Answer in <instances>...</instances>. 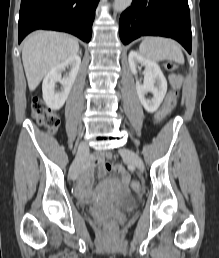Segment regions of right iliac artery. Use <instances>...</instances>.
I'll list each match as a JSON object with an SVG mask.
<instances>
[{
    "label": "right iliac artery",
    "mask_w": 219,
    "mask_h": 258,
    "mask_svg": "<svg viewBox=\"0 0 219 258\" xmlns=\"http://www.w3.org/2000/svg\"><path fill=\"white\" fill-rule=\"evenodd\" d=\"M89 166H90V161H87L86 164L83 166L82 171L87 170L89 168Z\"/></svg>",
    "instance_id": "1"
}]
</instances>
